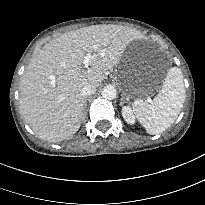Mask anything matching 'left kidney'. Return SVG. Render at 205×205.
I'll use <instances>...</instances> for the list:
<instances>
[{"instance_id": "1", "label": "left kidney", "mask_w": 205, "mask_h": 205, "mask_svg": "<svg viewBox=\"0 0 205 205\" xmlns=\"http://www.w3.org/2000/svg\"><path fill=\"white\" fill-rule=\"evenodd\" d=\"M122 116L128 124L132 125L135 123V116L129 106L122 107Z\"/></svg>"}]
</instances>
